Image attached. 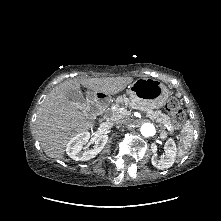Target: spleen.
I'll return each mask as SVG.
<instances>
[{
	"mask_svg": "<svg viewBox=\"0 0 221 221\" xmlns=\"http://www.w3.org/2000/svg\"><path fill=\"white\" fill-rule=\"evenodd\" d=\"M193 140V128L189 125H185L182 129V136L179 140V156L184 157L189 148L192 145Z\"/></svg>",
	"mask_w": 221,
	"mask_h": 221,
	"instance_id": "3e777b00",
	"label": "spleen"
}]
</instances>
